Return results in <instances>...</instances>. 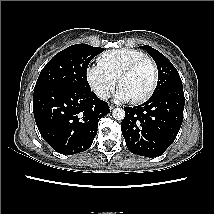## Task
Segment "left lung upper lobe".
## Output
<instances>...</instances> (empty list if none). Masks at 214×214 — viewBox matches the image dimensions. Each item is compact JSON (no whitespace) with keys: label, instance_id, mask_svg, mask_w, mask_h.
Wrapping results in <instances>:
<instances>
[{"label":"left lung upper lobe","instance_id":"5c2ea615","mask_svg":"<svg viewBox=\"0 0 214 214\" xmlns=\"http://www.w3.org/2000/svg\"><path fill=\"white\" fill-rule=\"evenodd\" d=\"M143 48L152 56L158 68V83L152 95L172 87H182L181 78L173 64L156 49L150 46Z\"/></svg>","mask_w":214,"mask_h":214}]
</instances>
